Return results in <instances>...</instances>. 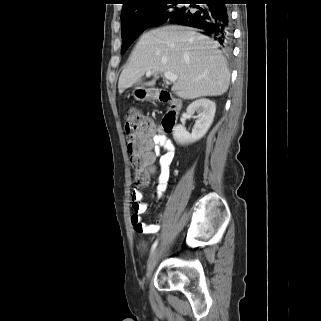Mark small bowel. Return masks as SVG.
Instances as JSON below:
<instances>
[{"label": "small bowel", "mask_w": 321, "mask_h": 321, "mask_svg": "<svg viewBox=\"0 0 321 321\" xmlns=\"http://www.w3.org/2000/svg\"><path fill=\"white\" fill-rule=\"evenodd\" d=\"M148 144L150 146V158L148 165H152L156 158H158V187L157 197L161 198L168 188L170 178V166L175 156V146L173 142L162 132L158 131L152 126L151 134L148 138ZM161 148L164 153L159 154L156 150ZM149 183V176L144 179L140 185L146 186ZM147 203L143 199V195L138 188H135L132 195V208L133 214L131 216V224L134 230L142 234H154L159 231L160 225L156 224H145L141 221V215L147 210ZM159 219H162V215H159Z\"/></svg>", "instance_id": "c3829d8e"}]
</instances>
